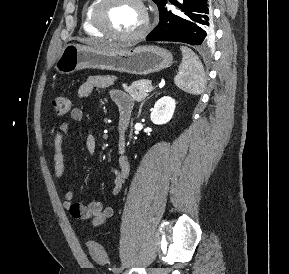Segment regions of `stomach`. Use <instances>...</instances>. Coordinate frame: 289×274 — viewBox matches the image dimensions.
Returning a JSON list of instances; mask_svg holds the SVG:
<instances>
[{
    "mask_svg": "<svg viewBox=\"0 0 289 274\" xmlns=\"http://www.w3.org/2000/svg\"><path fill=\"white\" fill-rule=\"evenodd\" d=\"M172 63V54L157 46H138L130 49L106 51L67 43L64 45L54 68L62 75H68L82 69H102L147 75L161 71Z\"/></svg>",
    "mask_w": 289,
    "mask_h": 274,
    "instance_id": "1",
    "label": "stomach"
}]
</instances>
